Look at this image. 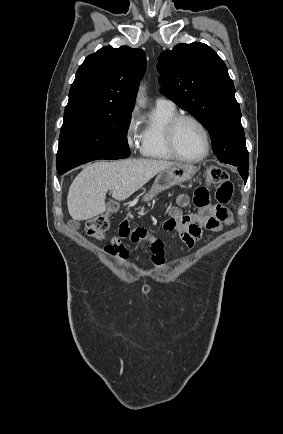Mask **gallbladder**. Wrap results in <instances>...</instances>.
<instances>
[{
	"instance_id": "1",
	"label": "gallbladder",
	"mask_w": 283,
	"mask_h": 434,
	"mask_svg": "<svg viewBox=\"0 0 283 434\" xmlns=\"http://www.w3.org/2000/svg\"><path fill=\"white\" fill-rule=\"evenodd\" d=\"M70 226L73 228H79L80 224L76 221H72V222H70Z\"/></svg>"
}]
</instances>
